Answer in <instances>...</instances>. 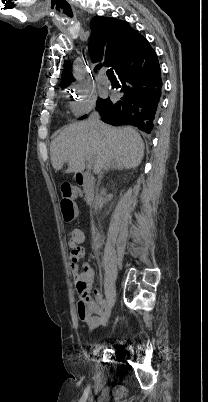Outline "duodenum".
<instances>
[{"mask_svg": "<svg viewBox=\"0 0 208 402\" xmlns=\"http://www.w3.org/2000/svg\"><path fill=\"white\" fill-rule=\"evenodd\" d=\"M76 181L78 185L84 188L85 200L91 203L94 197V179L86 172H78L76 174Z\"/></svg>", "mask_w": 208, "mask_h": 402, "instance_id": "duodenum-1", "label": "duodenum"}]
</instances>
